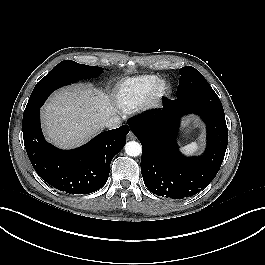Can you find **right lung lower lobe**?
Returning <instances> with one entry per match:
<instances>
[{
  "instance_id": "obj_1",
  "label": "right lung lower lobe",
  "mask_w": 265,
  "mask_h": 265,
  "mask_svg": "<svg viewBox=\"0 0 265 265\" xmlns=\"http://www.w3.org/2000/svg\"><path fill=\"white\" fill-rule=\"evenodd\" d=\"M40 107L23 116L22 124L24 145L38 175L68 194H88L103 187L109 177L112 158L126 143L129 127L122 125L102 132L77 149L60 150L43 137Z\"/></svg>"
}]
</instances>
